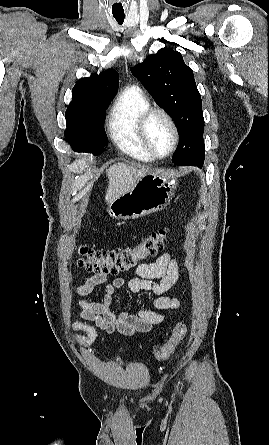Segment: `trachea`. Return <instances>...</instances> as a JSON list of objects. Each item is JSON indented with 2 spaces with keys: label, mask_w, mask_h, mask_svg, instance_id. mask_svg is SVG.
<instances>
[{
  "label": "trachea",
  "mask_w": 269,
  "mask_h": 445,
  "mask_svg": "<svg viewBox=\"0 0 269 445\" xmlns=\"http://www.w3.org/2000/svg\"><path fill=\"white\" fill-rule=\"evenodd\" d=\"M114 18L121 25V24H123L125 17H124V15H115Z\"/></svg>",
  "instance_id": "3493384b"
}]
</instances>
